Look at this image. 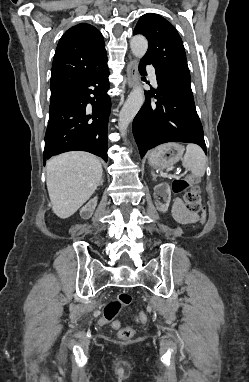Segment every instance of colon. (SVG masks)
Returning <instances> with one entry per match:
<instances>
[{
  "mask_svg": "<svg viewBox=\"0 0 249 382\" xmlns=\"http://www.w3.org/2000/svg\"><path fill=\"white\" fill-rule=\"evenodd\" d=\"M190 186L188 179H179L173 182L172 189L176 193L185 192L184 200L188 210L192 213H196L204 217L205 208L201 202L200 189L198 186H193L187 190ZM132 297L127 292H122L117 297L106 304L103 310L102 323H111L115 329L120 327V324L115 320L120 309L123 306H127L131 303ZM148 317L145 312H140L137 316V321L140 323H146ZM134 331L131 327H123L119 329L118 335L122 340H129L133 337Z\"/></svg>",
  "mask_w": 249,
  "mask_h": 382,
  "instance_id": "1",
  "label": "colon"
}]
</instances>
